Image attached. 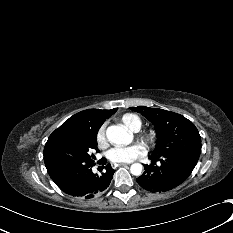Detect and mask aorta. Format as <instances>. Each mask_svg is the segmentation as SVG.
<instances>
[{
    "label": "aorta",
    "mask_w": 233,
    "mask_h": 233,
    "mask_svg": "<svg viewBox=\"0 0 233 233\" xmlns=\"http://www.w3.org/2000/svg\"><path fill=\"white\" fill-rule=\"evenodd\" d=\"M106 136L111 144L128 145L132 141V135L124 126H109L106 131ZM143 166L140 163H134L130 167L132 175L140 176Z\"/></svg>",
    "instance_id": "1"
}]
</instances>
